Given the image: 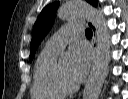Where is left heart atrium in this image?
<instances>
[{
  "mask_svg": "<svg viewBox=\"0 0 128 99\" xmlns=\"http://www.w3.org/2000/svg\"><path fill=\"white\" fill-rule=\"evenodd\" d=\"M90 65V55L87 50L75 49L70 66V74L75 83L81 82L87 75Z\"/></svg>",
  "mask_w": 128,
  "mask_h": 99,
  "instance_id": "left-heart-atrium-1",
  "label": "left heart atrium"
}]
</instances>
